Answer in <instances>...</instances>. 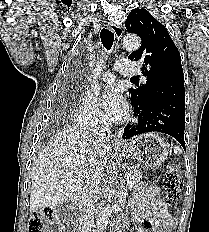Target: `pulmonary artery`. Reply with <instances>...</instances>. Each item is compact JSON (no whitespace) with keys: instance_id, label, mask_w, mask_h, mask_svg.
<instances>
[{"instance_id":"obj_1","label":"pulmonary artery","mask_w":209,"mask_h":232,"mask_svg":"<svg viewBox=\"0 0 209 232\" xmlns=\"http://www.w3.org/2000/svg\"><path fill=\"white\" fill-rule=\"evenodd\" d=\"M114 70L123 75H137V68L128 60H120L116 62ZM102 80L106 84H112L115 81V75L112 72H105L102 75Z\"/></svg>"}]
</instances>
